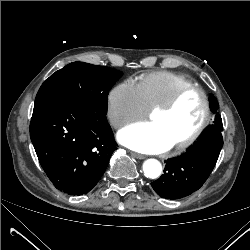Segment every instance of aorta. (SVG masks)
Masks as SVG:
<instances>
[{"label": "aorta", "mask_w": 250, "mask_h": 250, "mask_svg": "<svg viewBox=\"0 0 250 250\" xmlns=\"http://www.w3.org/2000/svg\"><path fill=\"white\" fill-rule=\"evenodd\" d=\"M143 171L146 177L155 179L161 174V163L156 159H148L143 164Z\"/></svg>", "instance_id": "obj_1"}]
</instances>
